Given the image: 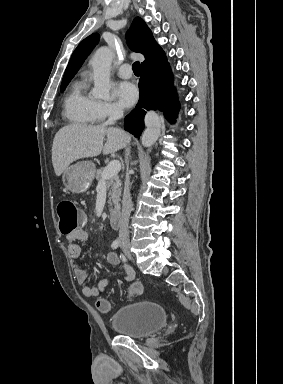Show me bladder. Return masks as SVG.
I'll return each instance as SVG.
<instances>
[{
	"label": "bladder",
	"mask_w": 283,
	"mask_h": 384,
	"mask_svg": "<svg viewBox=\"0 0 283 384\" xmlns=\"http://www.w3.org/2000/svg\"><path fill=\"white\" fill-rule=\"evenodd\" d=\"M167 320L163 304L141 300L119 307L111 326L117 335L140 339L162 329Z\"/></svg>",
	"instance_id": "bladder-1"
}]
</instances>
